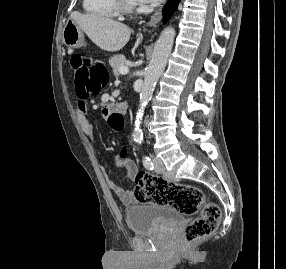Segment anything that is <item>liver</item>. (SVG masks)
Returning a JSON list of instances; mask_svg holds the SVG:
<instances>
[{
  "label": "liver",
  "instance_id": "1",
  "mask_svg": "<svg viewBox=\"0 0 286 269\" xmlns=\"http://www.w3.org/2000/svg\"><path fill=\"white\" fill-rule=\"evenodd\" d=\"M70 19L75 21L91 41L104 51H119L129 41L131 30L118 21L79 12H73Z\"/></svg>",
  "mask_w": 286,
  "mask_h": 269
}]
</instances>
